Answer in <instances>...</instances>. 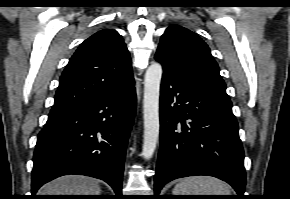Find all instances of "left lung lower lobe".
Masks as SVG:
<instances>
[{"instance_id":"left-lung-lower-lobe-1","label":"left lung lower lobe","mask_w":290,"mask_h":199,"mask_svg":"<svg viewBox=\"0 0 290 199\" xmlns=\"http://www.w3.org/2000/svg\"><path fill=\"white\" fill-rule=\"evenodd\" d=\"M243 160L229 96L163 67L155 195L174 179L209 175L229 183L242 199Z\"/></svg>"}]
</instances>
